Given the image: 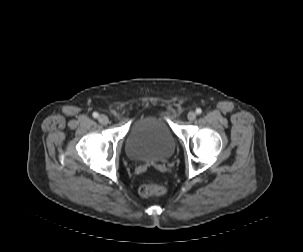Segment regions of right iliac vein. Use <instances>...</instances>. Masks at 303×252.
Wrapping results in <instances>:
<instances>
[{
	"mask_svg": "<svg viewBox=\"0 0 303 252\" xmlns=\"http://www.w3.org/2000/svg\"><path fill=\"white\" fill-rule=\"evenodd\" d=\"M98 121L101 124L106 125L109 122V118L106 115L102 114L98 117Z\"/></svg>",
	"mask_w": 303,
	"mask_h": 252,
	"instance_id": "right-iliac-vein-1",
	"label": "right iliac vein"
}]
</instances>
